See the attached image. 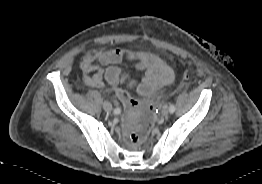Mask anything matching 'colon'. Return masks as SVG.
<instances>
[{
  "instance_id": "colon-1",
  "label": "colon",
  "mask_w": 262,
  "mask_h": 184,
  "mask_svg": "<svg viewBox=\"0 0 262 184\" xmlns=\"http://www.w3.org/2000/svg\"><path fill=\"white\" fill-rule=\"evenodd\" d=\"M116 95L126 109L125 129L129 142L134 145L142 143L150 131L153 111L159 99L154 98L145 104H140L133 100L125 90L118 89Z\"/></svg>"
}]
</instances>
